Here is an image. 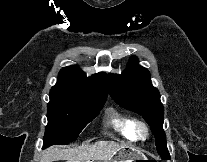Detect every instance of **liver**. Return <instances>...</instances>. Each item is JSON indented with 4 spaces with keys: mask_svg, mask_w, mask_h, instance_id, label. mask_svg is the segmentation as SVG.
I'll return each mask as SVG.
<instances>
[{
    "mask_svg": "<svg viewBox=\"0 0 207 162\" xmlns=\"http://www.w3.org/2000/svg\"><path fill=\"white\" fill-rule=\"evenodd\" d=\"M126 145L114 141H97L92 144H82L74 148L53 146L48 148L42 162L66 160L67 162H94L110 160L113 155Z\"/></svg>",
    "mask_w": 207,
    "mask_h": 162,
    "instance_id": "obj_1",
    "label": "liver"
}]
</instances>
